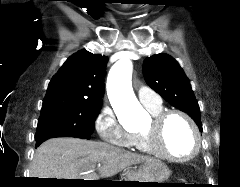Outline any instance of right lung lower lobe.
I'll return each instance as SVG.
<instances>
[{"instance_id": "obj_1", "label": "right lung lower lobe", "mask_w": 240, "mask_h": 187, "mask_svg": "<svg viewBox=\"0 0 240 187\" xmlns=\"http://www.w3.org/2000/svg\"><path fill=\"white\" fill-rule=\"evenodd\" d=\"M55 137H61V136L47 137V138H43L41 140H38L37 143H36V147H38L41 143H43L44 141L48 140L49 138H55Z\"/></svg>"}]
</instances>
